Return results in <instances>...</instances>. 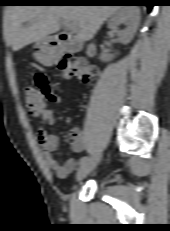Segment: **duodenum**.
Masks as SVG:
<instances>
[{
    "label": "duodenum",
    "mask_w": 170,
    "mask_h": 231,
    "mask_svg": "<svg viewBox=\"0 0 170 231\" xmlns=\"http://www.w3.org/2000/svg\"><path fill=\"white\" fill-rule=\"evenodd\" d=\"M57 42L60 43V47L57 48L56 53H76L81 50L82 43L77 39H71L69 35L65 32H60L56 35ZM86 52L89 56L94 55L95 46L89 44L86 46Z\"/></svg>",
    "instance_id": "410a0bca"
}]
</instances>
